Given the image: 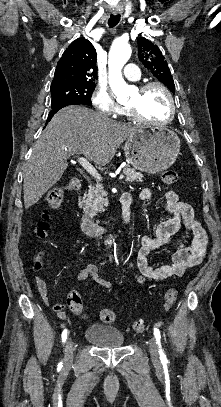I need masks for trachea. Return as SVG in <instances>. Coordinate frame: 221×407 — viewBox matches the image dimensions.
<instances>
[{"instance_id": "1", "label": "trachea", "mask_w": 221, "mask_h": 407, "mask_svg": "<svg viewBox=\"0 0 221 407\" xmlns=\"http://www.w3.org/2000/svg\"><path fill=\"white\" fill-rule=\"evenodd\" d=\"M119 21H120V14H117V15L111 14L110 18L108 20V25H109V27H114L119 23Z\"/></svg>"}]
</instances>
